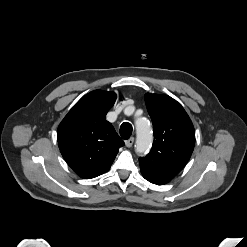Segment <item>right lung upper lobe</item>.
I'll list each match as a JSON object with an SVG mask.
<instances>
[{"label": "right lung upper lobe", "mask_w": 247, "mask_h": 247, "mask_svg": "<svg viewBox=\"0 0 247 247\" xmlns=\"http://www.w3.org/2000/svg\"><path fill=\"white\" fill-rule=\"evenodd\" d=\"M115 100L114 92L94 90L72 107L58 127L61 154L81 178L91 179L106 172L124 146L112 124L106 121Z\"/></svg>", "instance_id": "right-lung-upper-lobe-1"}]
</instances>
